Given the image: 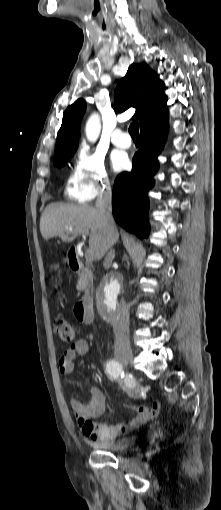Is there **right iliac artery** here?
<instances>
[{
  "label": "right iliac artery",
  "mask_w": 221,
  "mask_h": 510,
  "mask_svg": "<svg viewBox=\"0 0 221 510\" xmlns=\"http://www.w3.org/2000/svg\"><path fill=\"white\" fill-rule=\"evenodd\" d=\"M106 371L110 376L114 378L124 377L123 366L115 359L107 362Z\"/></svg>",
  "instance_id": "obj_1"
}]
</instances>
